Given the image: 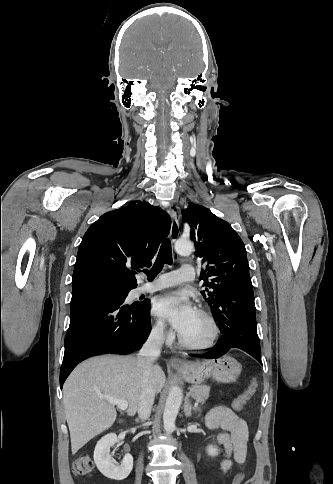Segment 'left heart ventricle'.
Here are the masks:
<instances>
[{"instance_id":"obj_1","label":"left heart ventricle","mask_w":333,"mask_h":484,"mask_svg":"<svg viewBox=\"0 0 333 484\" xmlns=\"http://www.w3.org/2000/svg\"><path fill=\"white\" fill-rule=\"evenodd\" d=\"M211 334V327L208 321L199 313L193 316L180 335L188 342L201 344L208 340Z\"/></svg>"}]
</instances>
